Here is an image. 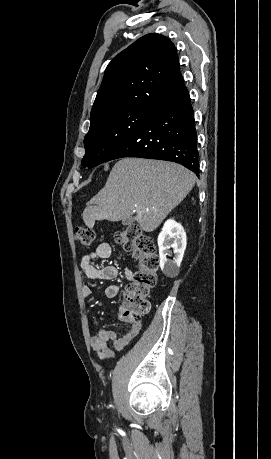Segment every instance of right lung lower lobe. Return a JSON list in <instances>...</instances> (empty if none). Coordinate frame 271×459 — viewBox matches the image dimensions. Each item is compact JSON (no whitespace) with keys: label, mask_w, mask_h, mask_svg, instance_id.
Masks as SVG:
<instances>
[{"label":"right lung lower lobe","mask_w":271,"mask_h":459,"mask_svg":"<svg viewBox=\"0 0 271 459\" xmlns=\"http://www.w3.org/2000/svg\"><path fill=\"white\" fill-rule=\"evenodd\" d=\"M197 131L185 88L157 109L106 159L139 157L177 162L199 176Z\"/></svg>","instance_id":"obj_1"}]
</instances>
